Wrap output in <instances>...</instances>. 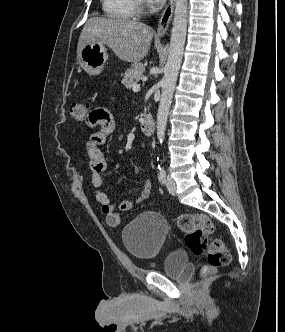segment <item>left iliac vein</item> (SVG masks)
I'll return each mask as SVG.
<instances>
[{
  "instance_id": "obj_1",
  "label": "left iliac vein",
  "mask_w": 285,
  "mask_h": 332,
  "mask_svg": "<svg viewBox=\"0 0 285 332\" xmlns=\"http://www.w3.org/2000/svg\"><path fill=\"white\" fill-rule=\"evenodd\" d=\"M166 186L171 195L176 194V183L172 177L170 176L167 177Z\"/></svg>"
}]
</instances>
